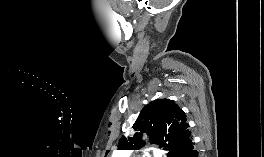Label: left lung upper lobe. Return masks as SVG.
I'll use <instances>...</instances> for the list:
<instances>
[{"instance_id": "5c2ea615", "label": "left lung upper lobe", "mask_w": 264, "mask_h": 157, "mask_svg": "<svg viewBox=\"0 0 264 157\" xmlns=\"http://www.w3.org/2000/svg\"><path fill=\"white\" fill-rule=\"evenodd\" d=\"M133 128L140 132L128 140L122 137L118 149H138L143 145L141 137L142 132H145L152 143L169 151L167 157H176L179 148L191 138L185 113L169 99H157L147 104L140 112Z\"/></svg>"}]
</instances>
